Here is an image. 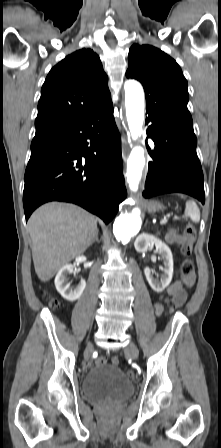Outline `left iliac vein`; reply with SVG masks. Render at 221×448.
<instances>
[{
	"label": "left iliac vein",
	"mask_w": 221,
	"mask_h": 448,
	"mask_svg": "<svg viewBox=\"0 0 221 448\" xmlns=\"http://www.w3.org/2000/svg\"><path fill=\"white\" fill-rule=\"evenodd\" d=\"M124 351L126 353L130 354L134 359H138V357H139V350H138L137 346L133 342H130L125 347Z\"/></svg>",
	"instance_id": "1"
}]
</instances>
